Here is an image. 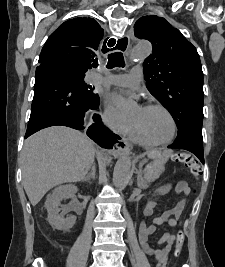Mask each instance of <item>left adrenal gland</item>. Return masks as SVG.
Here are the masks:
<instances>
[{
	"instance_id": "1",
	"label": "left adrenal gland",
	"mask_w": 225,
	"mask_h": 267,
	"mask_svg": "<svg viewBox=\"0 0 225 267\" xmlns=\"http://www.w3.org/2000/svg\"><path fill=\"white\" fill-rule=\"evenodd\" d=\"M137 186L139 188H144V184H143V178H142V172L141 171H137Z\"/></svg>"
}]
</instances>
